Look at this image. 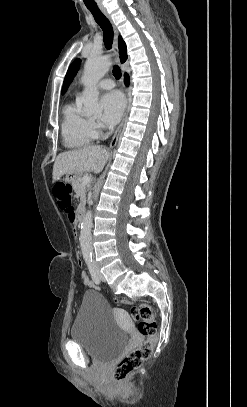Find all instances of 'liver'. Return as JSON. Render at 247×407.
<instances>
[{
	"label": "liver",
	"instance_id": "6515ba94",
	"mask_svg": "<svg viewBox=\"0 0 247 407\" xmlns=\"http://www.w3.org/2000/svg\"><path fill=\"white\" fill-rule=\"evenodd\" d=\"M108 158L109 152L101 146H86L60 153L53 166V181H58L64 174L99 173Z\"/></svg>",
	"mask_w": 247,
	"mask_h": 407
}]
</instances>
